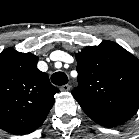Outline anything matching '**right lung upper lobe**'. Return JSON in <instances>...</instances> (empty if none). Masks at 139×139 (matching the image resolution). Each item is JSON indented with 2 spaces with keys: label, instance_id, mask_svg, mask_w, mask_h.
<instances>
[{
  "label": "right lung upper lobe",
  "instance_id": "1",
  "mask_svg": "<svg viewBox=\"0 0 139 139\" xmlns=\"http://www.w3.org/2000/svg\"><path fill=\"white\" fill-rule=\"evenodd\" d=\"M38 57L7 48L0 53V128L15 135L36 130L54 104V87Z\"/></svg>",
  "mask_w": 139,
  "mask_h": 139
}]
</instances>
